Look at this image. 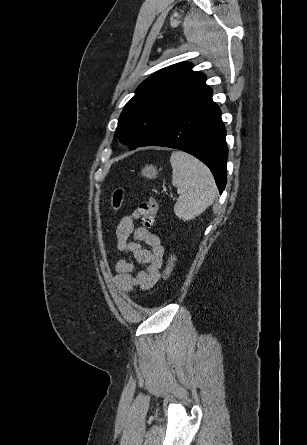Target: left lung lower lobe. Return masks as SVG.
Masks as SVG:
<instances>
[{
  "instance_id": "left-lung-lower-lobe-1",
  "label": "left lung lower lobe",
  "mask_w": 307,
  "mask_h": 445,
  "mask_svg": "<svg viewBox=\"0 0 307 445\" xmlns=\"http://www.w3.org/2000/svg\"><path fill=\"white\" fill-rule=\"evenodd\" d=\"M225 136L221 111L210 95L139 146H164L194 155L210 168L221 194L226 185L228 149Z\"/></svg>"
}]
</instances>
